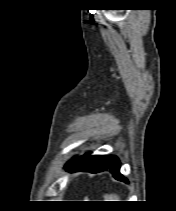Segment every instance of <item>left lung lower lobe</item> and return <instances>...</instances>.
Segmentation results:
<instances>
[{"instance_id":"obj_1","label":"left lung lower lobe","mask_w":176,"mask_h":211,"mask_svg":"<svg viewBox=\"0 0 176 211\" xmlns=\"http://www.w3.org/2000/svg\"><path fill=\"white\" fill-rule=\"evenodd\" d=\"M65 168L69 171H88L91 173L109 170L117 180L128 183V180L120 173V162L115 156H80L67 163Z\"/></svg>"}]
</instances>
